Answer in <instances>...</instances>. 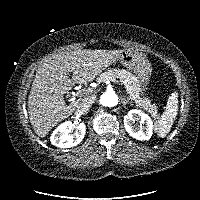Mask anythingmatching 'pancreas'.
Instances as JSON below:
<instances>
[{"label":"pancreas","mask_w":200,"mask_h":200,"mask_svg":"<svg viewBox=\"0 0 200 200\" xmlns=\"http://www.w3.org/2000/svg\"><path fill=\"white\" fill-rule=\"evenodd\" d=\"M108 79H118L121 84L125 86L129 98L136 104V106L145 109L153 117L158 116L157 106L152 104L149 99L141 98L139 96L137 90V79L130 72L124 69H109L99 76L98 82H103Z\"/></svg>","instance_id":"obj_1"}]
</instances>
